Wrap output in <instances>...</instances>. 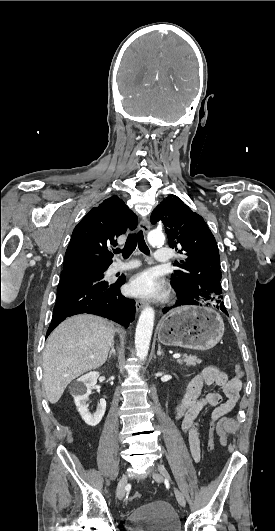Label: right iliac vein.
I'll list each match as a JSON object with an SVG mask.
<instances>
[{
    "label": "right iliac vein",
    "mask_w": 275,
    "mask_h": 531,
    "mask_svg": "<svg viewBox=\"0 0 275 531\" xmlns=\"http://www.w3.org/2000/svg\"><path fill=\"white\" fill-rule=\"evenodd\" d=\"M127 476H123L120 481L118 482V485H117V489H116V494L118 496L119 499H123L124 498V495H125V487L127 485Z\"/></svg>",
    "instance_id": "right-iliac-vein-1"
}]
</instances>
